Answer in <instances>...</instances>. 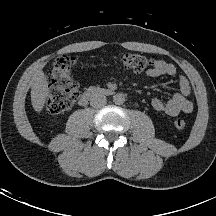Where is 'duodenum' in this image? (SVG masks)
Returning a JSON list of instances; mask_svg holds the SVG:
<instances>
[{
	"label": "duodenum",
	"instance_id": "obj_1",
	"mask_svg": "<svg viewBox=\"0 0 216 216\" xmlns=\"http://www.w3.org/2000/svg\"><path fill=\"white\" fill-rule=\"evenodd\" d=\"M113 93L112 90L107 89V88H89L87 89L83 95L81 96L80 100H79V104L81 106H84L88 103V101L95 97V96H99V95H111Z\"/></svg>",
	"mask_w": 216,
	"mask_h": 216
}]
</instances>
